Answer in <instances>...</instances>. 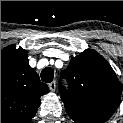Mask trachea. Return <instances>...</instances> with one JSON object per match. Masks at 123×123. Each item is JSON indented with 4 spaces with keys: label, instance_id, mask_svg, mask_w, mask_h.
<instances>
[{
    "label": "trachea",
    "instance_id": "trachea-1",
    "mask_svg": "<svg viewBox=\"0 0 123 123\" xmlns=\"http://www.w3.org/2000/svg\"><path fill=\"white\" fill-rule=\"evenodd\" d=\"M54 78V71L52 68L47 67L41 72V79L43 82L50 83Z\"/></svg>",
    "mask_w": 123,
    "mask_h": 123
}]
</instances>
